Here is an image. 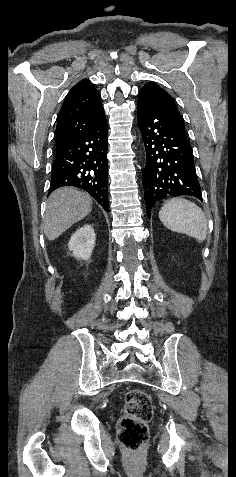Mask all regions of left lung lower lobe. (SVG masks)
Instances as JSON below:
<instances>
[{
  "instance_id": "obj_1",
  "label": "left lung lower lobe",
  "mask_w": 236,
  "mask_h": 477,
  "mask_svg": "<svg viewBox=\"0 0 236 477\" xmlns=\"http://www.w3.org/2000/svg\"><path fill=\"white\" fill-rule=\"evenodd\" d=\"M137 112L146 150L142 174L148 217L153 205L166 197L189 195L202 200L193 150L185 131L163 113L147 92L140 91Z\"/></svg>"
}]
</instances>
